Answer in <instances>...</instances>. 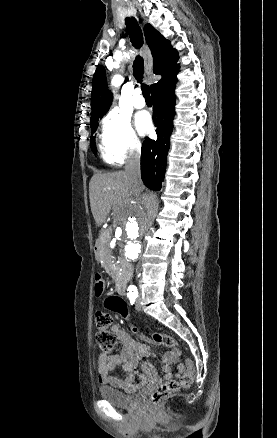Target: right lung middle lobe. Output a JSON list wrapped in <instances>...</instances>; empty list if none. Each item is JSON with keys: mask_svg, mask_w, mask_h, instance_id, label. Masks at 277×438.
<instances>
[{"mask_svg": "<svg viewBox=\"0 0 277 438\" xmlns=\"http://www.w3.org/2000/svg\"><path fill=\"white\" fill-rule=\"evenodd\" d=\"M91 129H92V133H94L98 127V120L96 121H92L90 123ZM90 144H91V149L96 152V147H95V137L91 136V140H90Z\"/></svg>", "mask_w": 277, "mask_h": 438, "instance_id": "obj_1", "label": "right lung middle lobe"}]
</instances>
